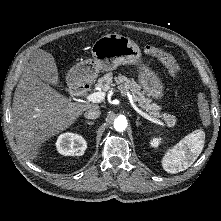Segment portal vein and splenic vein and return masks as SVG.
Here are the masks:
<instances>
[{
    "mask_svg": "<svg viewBox=\"0 0 221 221\" xmlns=\"http://www.w3.org/2000/svg\"><path fill=\"white\" fill-rule=\"evenodd\" d=\"M126 95L128 96V100H129L130 105L134 108V110H135L138 114H140L142 117L146 118L147 120H149V121H151V122H153V123H156V124H158V125H160V126H163V127L166 126V125H165L162 121H160L159 119L154 118V117L148 115L147 113L143 112L141 109H139V108L135 105V103H134V101H133V99H132V97H131L130 94L127 93ZM105 96H106L105 91H100V92H94V93H92V94H89V95H87L86 98H87V100L90 101V102H93V103H101V102L105 99Z\"/></svg>",
    "mask_w": 221,
    "mask_h": 221,
    "instance_id": "1",
    "label": "portal vein and splenic vein"
}]
</instances>
